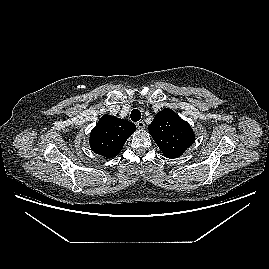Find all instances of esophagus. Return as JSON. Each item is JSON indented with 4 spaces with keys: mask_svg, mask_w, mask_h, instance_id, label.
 Returning <instances> with one entry per match:
<instances>
[{
    "mask_svg": "<svg viewBox=\"0 0 269 269\" xmlns=\"http://www.w3.org/2000/svg\"><path fill=\"white\" fill-rule=\"evenodd\" d=\"M136 126L138 129L142 130L145 128V123L143 121L136 122Z\"/></svg>",
    "mask_w": 269,
    "mask_h": 269,
    "instance_id": "1",
    "label": "esophagus"
}]
</instances>
